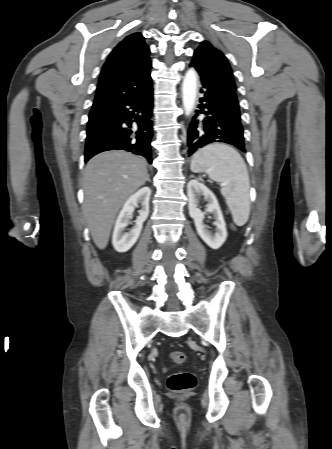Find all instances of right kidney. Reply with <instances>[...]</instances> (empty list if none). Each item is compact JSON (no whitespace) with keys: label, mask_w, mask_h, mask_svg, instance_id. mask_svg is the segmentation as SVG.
Masks as SVG:
<instances>
[{"label":"right kidney","mask_w":332,"mask_h":449,"mask_svg":"<svg viewBox=\"0 0 332 449\" xmlns=\"http://www.w3.org/2000/svg\"><path fill=\"white\" fill-rule=\"evenodd\" d=\"M150 195H151L150 188L143 187L140 190H138L135 194L130 196L123 205V208L117 217L112 236V244L116 251L126 252L138 240L143 227V223L149 215ZM138 204H141V210L139 211V216L135 221V225L130 230V232L125 233L124 229L127 226V223L131 218L135 207H137Z\"/></svg>","instance_id":"1"}]
</instances>
